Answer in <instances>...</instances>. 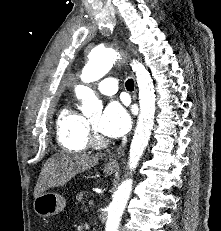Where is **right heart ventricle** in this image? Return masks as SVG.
<instances>
[{
  "mask_svg": "<svg viewBox=\"0 0 221 231\" xmlns=\"http://www.w3.org/2000/svg\"><path fill=\"white\" fill-rule=\"evenodd\" d=\"M57 141L66 150L81 152L88 145L86 118L73 106L64 107L57 116Z\"/></svg>",
  "mask_w": 221,
  "mask_h": 231,
  "instance_id": "obj_1",
  "label": "right heart ventricle"
}]
</instances>
